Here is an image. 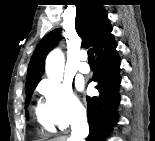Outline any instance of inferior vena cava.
Returning <instances> with one entry per match:
<instances>
[{
	"label": "inferior vena cava",
	"mask_w": 155,
	"mask_h": 141,
	"mask_svg": "<svg viewBox=\"0 0 155 141\" xmlns=\"http://www.w3.org/2000/svg\"><path fill=\"white\" fill-rule=\"evenodd\" d=\"M83 123H86L85 115L81 116L76 123L72 124V133L69 141H83L84 137L87 134V131L84 129L82 125Z\"/></svg>",
	"instance_id": "602c4592"
}]
</instances>
